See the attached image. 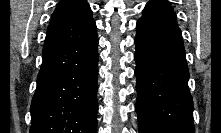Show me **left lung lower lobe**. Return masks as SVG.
Listing matches in <instances>:
<instances>
[{
    "label": "left lung lower lobe",
    "instance_id": "0a47b994",
    "mask_svg": "<svg viewBox=\"0 0 221 133\" xmlns=\"http://www.w3.org/2000/svg\"><path fill=\"white\" fill-rule=\"evenodd\" d=\"M136 28L139 133H195L180 28L148 20H139Z\"/></svg>",
    "mask_w": 221,
    "mask_h": 133
}]
</instances>
